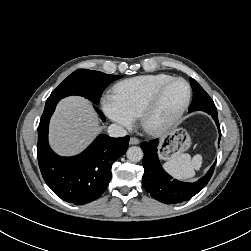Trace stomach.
Masks as SVG:
<instances>
[{
    "mask_svg": "<svg viewBox=\"0 0 251 251\" xmlns=\"http://www.w3.org/2000/svg\"><path fill=\"white\" fill-rule=\"evenodd\" d=\"M190 138L185 130L179 128L165 135L161 140V158L171 159L187 150L190 146Z\"/></svg>",
    "mask_w": 251,
    "mask_h": 251,
    "instance_id": "0dacf381",
    "label": "stomach"
}]
</instances>
